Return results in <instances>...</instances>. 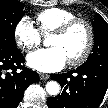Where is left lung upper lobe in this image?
Here are the masks:
<instances>
[{"instance_id": "1", "label": "left lung upper lobe", "mask_w": 108, "mask_h": 108, "mask_svg": "<svg viewBox=\"0 0 108 108\" xmlns=\"http://www.w3.org/2000/svg\"><path fill=\"white\" fill-rule=\"evenodd\" d=\"M95 40L93 46V53L90 54L88 60L84 64H90L94 61L108 62V23L98 14H95L94 22L92 24ZM69 92L68 98L73 99L76 95Z\"/></svg>"}]
</instances>
